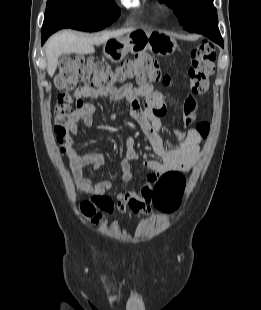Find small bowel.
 Instances as JSON below:
<instances>
[{
  "label": "small bowel",
  "mask_w": 261,
  "mask_h": 310,
  "mask_svg": "<svg viewBox=\"0 0 261 310\" xmlns=\"http://www.w3.org/2000/svg\"><path fill=\"white\" fill-rule=\"evenodd\" d=\"M76 109L66 122L67 135L65 144L69 155V169L76 188L81 193L102 195L111 189V182L101 179L93 182L83 175V170L91 166L94 170L99 169L106 162L105 156L98 152L81 154L75 147L72 136L78 133L79 123L89 126L92 124L94 107L86 104V98H106L112 102L127 100L131 105V115L136 120L140 129L147 137L152 152L160 160H150L143 157V166L150 172L147 182L139 190H128L117 195V208L120 212L132 211L135 215L149 214L152 212V192L161 176L169 171L188 173L200 157V144L203 136L195 128L187 132L176 131L177 143L166 146L161 136L160 117L165 114L166 108L162 95L154 92L151 85L140 84L134 87L125 84L120 88L105 87L93 88L91 86H79L75 93ZM148 99L144 106L141 99ZM197 100L189 95L184 102L183 125L190 127L195 121ZM139 158L135 149V141L129 137L125 141V158L121 162V176L124 183L133 178V171L129 161Z\"/></svg>",
  "instance_id": "small-bowel-1"
}]
</instances>
